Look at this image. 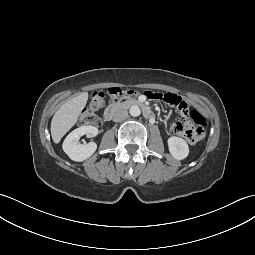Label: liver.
I'll return each mask as SVG.
<instances>
[{"label":"liver","mask_w":255,"mask_h":255,"mask_svg":"<svg viewBox=\"0 0 255 255\" xmlns=\"http://www.w3.org/2000/svg\"><path fill=\"white\" fill-rule=\"evenodd\" d=\"M87 100L88 94L82 93L65 102L55 112L51 121V135L54 143L58 144L61 138L74 126Z\"/></svg>","instance_id":"liver-1"}]
</instances>
